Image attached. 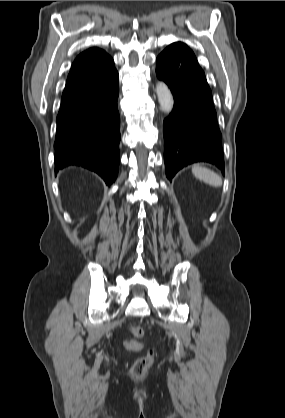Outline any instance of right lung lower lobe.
Here are the masks:
<instances>
[{
    "mask_svg": "<svg viewBox=\"0 0 285 418\" xmlns=\"http://www.w3.org/2000/svg\"><path fill=\"white\" fill-rule=\"evenodd\" d=\"M118 73L61 100L55 137V172L78 165L98 173L106 185L118 175L120 117Z\"/></svg>",
    "mask_w": 285,
    "mask_h": 418,
    "instance_id": "1",
    "label": "right lung lower lobe"
}]
</instances>
